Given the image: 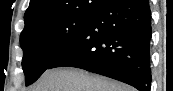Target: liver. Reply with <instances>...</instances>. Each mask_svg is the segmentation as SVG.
Masks as SVG:
<instances>
[{"label":"liver","instance_id":"6515ba94","mask_svg":"<svg viewBox=\"0 0 173 91\" xmlns=\"http://www.w3.org/2000/svg\"><path fill=\"white\" fill-rule=\"evenodd\" d=\"M28 91H134L126 84L74 67L46 70Z\"/></svg>","mask_w":173,"mask_h":91}]
</instances>
